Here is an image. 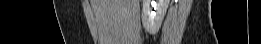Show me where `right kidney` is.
<instances>
[{
    "instance_id": "ca27d5eb",
    "label": "right kidney",
    "mask_w": 261,
    "mask_h": 44,
    "mask_svg": "<svg viewBox=\"0 0 261 44\" xmlns=\"http://www.w3.org/2000/svg\"><path fill=\"white\" fill-rule=\"evenodd\" d=\"M168 5L169 0H143L142 24L148 33L155 34L158 32ZM152 7L155 11H152Z\"/></svg>"
}]
</instances>
